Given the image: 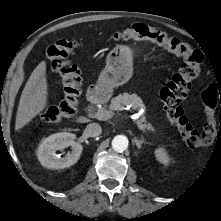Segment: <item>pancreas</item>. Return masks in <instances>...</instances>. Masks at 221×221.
Listing matches in <instances>:
<instances>
[{
	"mask_svg": "<svg viewBox=\"0 0 221 221\" xmlns=\"http://www.w3.org/2000/svg\"><path fill=\"white\" fill-rule=\"evenodd\" d=\"M127 105H131L133 110H140L141 108L142 109L145 108L142 99L138 97L136 94L123 93L111 100L109 109L121 111ZM140 122L144 125L145 129L149 131L155 130L150 123H147L146 117L144 115L140 117Z\"/></svg>",
	"mask_w": 221,
	"mask_h": 221,
	"instance_id": "pancreas-1",
	"label": "pancreas"
}]
</instances>
